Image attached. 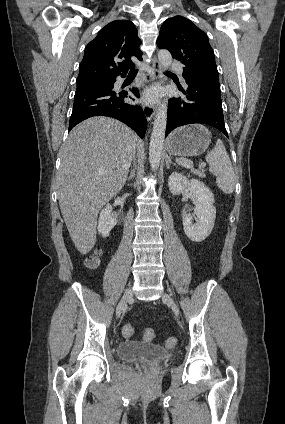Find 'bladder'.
I'll use <instances>...</instances> for the list:
<instances>
[{
  "label": "bladder",
  "mask_w": 285,
  "mask_h": 424,
  "mask_svg": "<svg viewBox=\"0 0 285 424\" xmlns=\"http://www.w3.org/2000/svg\"><path fill=\"white\" fill-rule=\"evenodd\" d=\"M118 354L122 359L145 361L151 359L172 360L175 354L172 351L150 343L124 341L119 345Z\"/></svg>",
  "instance_id": "1"
}]
</instances>
